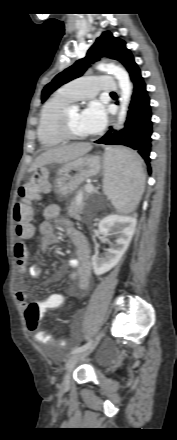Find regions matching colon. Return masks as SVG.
Listing matches in <instances>:
<instances>
[{
  "label": "colon",
  "mask_w": 177,
  "mask_h": 440,
  "mask_svg": "<svg viewBox=\"0 0 177 440\" xmlns=\"http://www.w3.org/2000/svg\"><path fill=\"white\" fill-rule=\"evenodd\" d=\"M49 190L47 172L41 170L30 178L19 189L20 201L13 209V219L16 222L15 232L20 237H27L31 234L32 210L31 203L38 200L41 193ZM66 304L65 298H41L28 305L24 312V320L31 332H36L42 316L47 311H61ZM38 342H44L45 346H51L52 352H60L65 347V340L52 338L45 330H40L36 336Z\"/></svg>",
  "instance_id": "obj_1"
}]
</instances>
